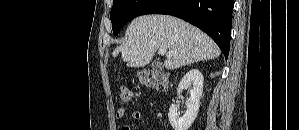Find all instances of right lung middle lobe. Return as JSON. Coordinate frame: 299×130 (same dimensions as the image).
Instances as JSON below:
<instances>
[{
	"label": "right lung middle lobe",
	"mask_w": 299,
	"mask_h": 130,
	"mask_svg": "<svg viewBox=\"0 0 299 130\" xmlns=\"http://www.w3.org/2000/svg\"><path fill=\"white\" fill-rule=\"evenodd\" d=\"M151 0H113L110 13L113 34L117 35L120 28L139 15Z\"/></svg>",
	"instance_id": "dd1d6c3e"
}]
</instances>
